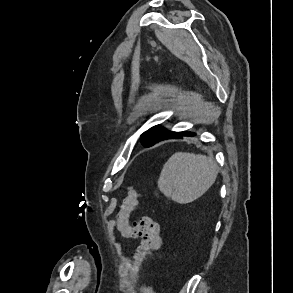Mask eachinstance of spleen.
Wrapping results in <instances>:
<instances>
[{
	"mask_svg": "<svg viewBox=\"0 0 293 293\" xmlns=\"http://www.w3.org/2000/svg\"><path fill=\"white\" fill-rule=\"evenodd\" d=\"M218 166L212 156L176 152L165 163L158 188L179 204H187L201 197L215 182Z\"/></svg>",
	"mask_w": 293,
	"mask_h": 293,
	"instance_id": "1",
	"label": "spleen"
}]
</instances>
